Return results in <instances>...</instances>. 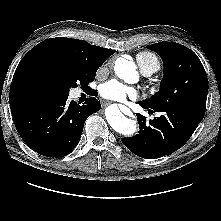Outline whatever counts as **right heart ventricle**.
Returning a JSON list of instances; mask_svg holds the SVG:
<instances>
[{
  "label": "right heart ventricle",
  "mask_w": 221,
  "mask_h": 221,
  "mask_svg": "<svg viewBox=\"0 0 221 221\" xmlns=\"http://www.w3.org/2000/svg\"><path fill=\"white\" fill-rule=\"evenodd\" d=\"M136 60L142 71L152 70L156 72L160 67L158 58L150 52L138 53L136 55Z\"/></svg>",
  "instance_id": "e07e8e85"
}]
</instances>
